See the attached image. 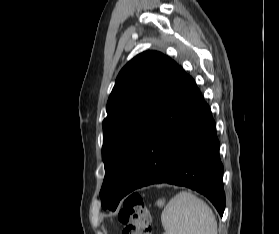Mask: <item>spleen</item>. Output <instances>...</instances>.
Wrapping results in <instances>:
<instances>
[{"label":"spleen","mask_w":279,"mask_h":234,"mask_svg":"<svg viewBox=\"0 0 279 234\" xmlns=\"http://www.w3.org/2000/svg\"><path fill=\"white\" fill-rule=\"evenodd\" d=\"M163 208L161 223L164 234H217V221L211 208L188 192H180L169 202L159 199Z\"/></svg>","instance_id":"1"}]
</instances>
